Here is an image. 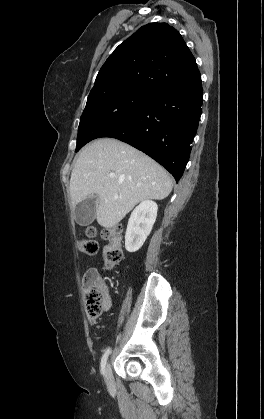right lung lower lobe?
I'll use <instances>...</instances> for the list:
<instances>
[{
  "label": "right lung lower lobe",
  "mask_w": 264,
  "mask_h": 419,
  "mask_svg": "<svg viewBox=\"0 0 264 419\" xmlns=\"http://www.w3.org/2000/svg\"><path fill=\"white\" fill-rule=\"evenodd\" d=\"M202 95L201 81L155 92L127 119L100 137L116 138L141 150L178 182L189 160L202 113Z\"/></svg>",
  "instance_id": "right-lung-lower-lobe-1"
}]
</instances>
